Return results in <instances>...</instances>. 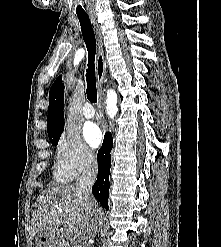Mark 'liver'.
<instances>
[{
  "label": "liver",
  "instance_id": "6515ba94",
  "mask_svg": "<svg viewBox=\"0 0 221 247\" xmlns=\"http://www.w3.org/2000/svg\"><path fill=\"white\" fill-rule=\"evenodd\" d=\"M32 214L31 234L55 232L65 225L68 232L79 237L86 227V210L74 186H57L44 190L36 200ZM97 214L100 209L95 204Z\"/></svg>",
  "mask_w": 221,
  "mask_h": 247
}]
</instances>
